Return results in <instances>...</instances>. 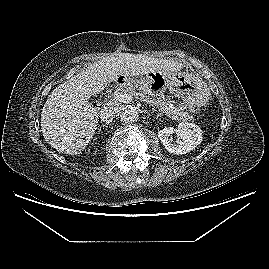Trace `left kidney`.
I'll return each instance as SVG.
<instances>
[{"instance_id":"1","label":"left kidney","mask_w":269,"mask_h":269,"mask_svg":"<svg viewBox=\"0 0 269 269\" xmlns=\"http://www.w3.org/2000/svg\"><path fill=\"white\" fill-rule=\"evenodd\" d=\"M173 130L164 128L158 131V138L165 148L174 154H186L202 142V130L194 123L181 122L178 125L176 134L178 136L177 143H173L170 135Z\"/></svg>"}]
</instances>
